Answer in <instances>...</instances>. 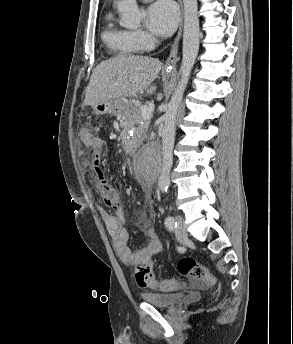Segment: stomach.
Here are the masks:
<instances>
[{
  "mask_svg": "<svg viewBox=\"0 0 293 344\" xmlns=\"http://www.w3.org/2000/svg\"><path fill=\"white\" fill-rule=\"evenodd\" d=\"M130 108V103L123 98L101 102L93 106L95 114H112L115 116H125Z\"/></svg>",
  "mask_w": 293,
  "mask_h": 344,
  "instance_id": "stomach-1",
  "label": "stomach"
}]
</instances>
